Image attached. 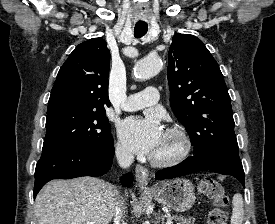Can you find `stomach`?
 I'll return each instance as SVG.
<instances>
[{
	"label": "stomach",
	"instance_id": "stomach-1",
	"mask_svg": "<svg viewBox=\"0 0 275 224\" xmlns=\"http://www.w3.org/2000/svg\"><path fill=\"white\" fill-rule=\"evenodd\" d=\"M157 202L176 212H185L195 203L194 186L187 179L170 180L154 191Z\"/></svg>",
	"mask_w": 275,
	"mask_h": 224
}]
</instances>
